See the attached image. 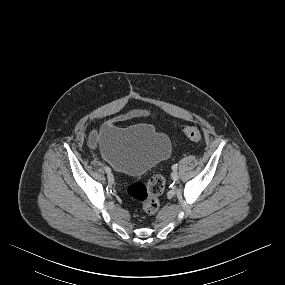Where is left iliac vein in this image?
I'll use <instances>...</instances> for the list:
<instances>
[{"label":"left iliac vein","instance_id":"4c4485c4","mask_svg":"<svg viewBox=\"0 0 285 285\" xmlns=\"http://www.w3.org/2000/svg\"><path fill=\"white\" fill-rule=\"evenodd\" d=\"M171 179H172L173 181H178L179 175H178L177 171H173V172L171 173Z\"/></svg>","mask_w":285,"mask_h":285}]
</instances>
